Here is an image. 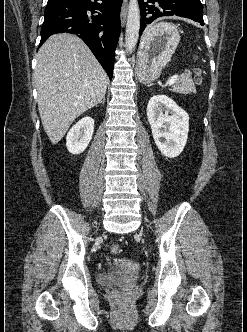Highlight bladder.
<instances>
[{
  "label": "bladder",
  "instance_id": "obj_1",
  "mask_svg": "<svg viewBox=\"0 0 247 332\" xmlns=\"http://www.w3.org/2000/svg\"><path fill=\"white\" fill-rule=\"evenodd\" d=\"M128 266L129 264L125 262L117 268L102 272L98 276V283L102 286H110L124 282L128 275Z\"/></svg>",
  "mask_w": 247,
  "mask_h": 332
}]
</instances>
